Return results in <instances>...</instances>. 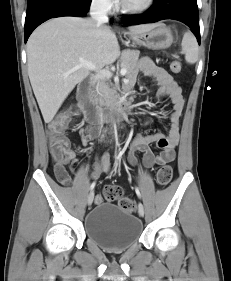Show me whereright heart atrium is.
<instances>
[{
    "instance_id": "d8ad5b80",
    "label": "right heart atrium",
    "mask_w": 231,
    "mask_h": 281,
    "mask_svg": "<svg viewBox=\"0 0 231 281\" xmlns=\"http://www.w3.org/2000/svg\"><path fill=\"white\" fill-rule=\"evenodd\" d=\"M93 2L102 9H109L112 6L113 0H93Z\"/></svg>"
}]
</instances>
